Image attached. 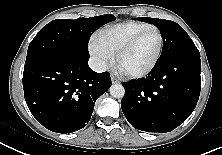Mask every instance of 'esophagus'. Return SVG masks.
Listing matches in <instances>:
<instances>
[{
    "instance_id": "esophagus-1",
    "label": "esophagus",
    "mask_w": 222,
    "mask_h": 155,
    "mask_svg": "<svg viewBox=\"0 0 222 155\" xmlns=\"http://www.w3.org/2000/svg\"><path fill=\"white\" fill-rule=\"evenodd\" d=\"M111 81L112 83H119V80L117 78H115L114 76H111Z\"/></svg>"
}]
</instances>
